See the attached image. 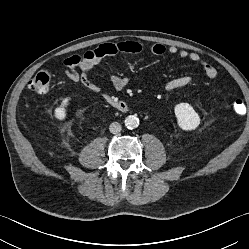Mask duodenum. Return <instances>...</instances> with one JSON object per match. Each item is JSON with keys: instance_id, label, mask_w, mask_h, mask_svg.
<instances>
[{"instance_id": "obj_1", "label": "duodenum", "mask_w": 249, "mask_h": 249, "mask_svg": "<svg viewBox=\"0 0 249 249\" xmlns=\"http://www.w3.org/2000/svg\"><path fill=\"white\" fill-rule=\"evenodd\" d=\"M104 98L116 110H118L120 112H126L128 110V105L126 104L125 101H123L117 97H114L112 95H109V94H106L104 96Z\"/></svg>"}]
</instances>
